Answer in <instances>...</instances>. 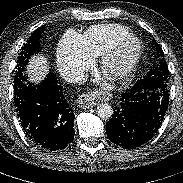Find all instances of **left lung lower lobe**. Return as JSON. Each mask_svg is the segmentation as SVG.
<instances>
[{"label": "left lung lower lobe", "instance_id": "left-lung-lower-lobe-1", "mask_svg": "<svg viewBox=\"0 0 183 183\" xmlns=\"http://www.w3.org/2000/svg\"><path fill=\"white\" fill-rule=\"evenodd\" d=\"M168 103V92L134 86L124 90L114 115L106 125L107 136L124 149H133L146 143L160 128Z\"/></svg>", "mask_w": 183, "mask_h": 183}]
</instances>
